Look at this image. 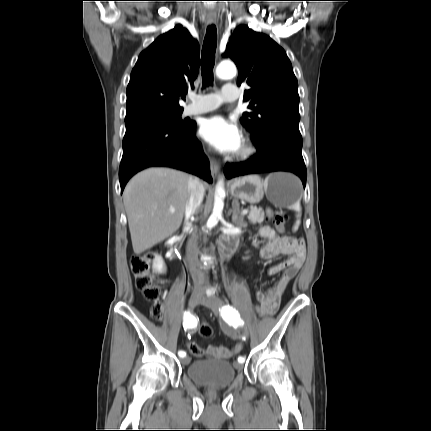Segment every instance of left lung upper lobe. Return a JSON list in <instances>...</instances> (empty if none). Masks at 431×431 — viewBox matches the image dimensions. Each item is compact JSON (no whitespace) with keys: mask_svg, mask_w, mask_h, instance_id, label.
Masks as SVG:
<instances>
[{"mask_svg":"<svg viewBox=\"0 0 431 431\" xmlns=\"http://www.w3.org/2000/svg\"><path fill=\"white\" fill-rule=\"evenodd\" d=\"M225 57L239 70L237 85H247L250 112L241 123L257 143L271 131H299L298 82L286 52L269 36L241 26L231 36Z\"/></svg>","mask_w":431,"mask_h":431,"instance_id":"1","label":"left lung upper lobe"}]
</instances>
